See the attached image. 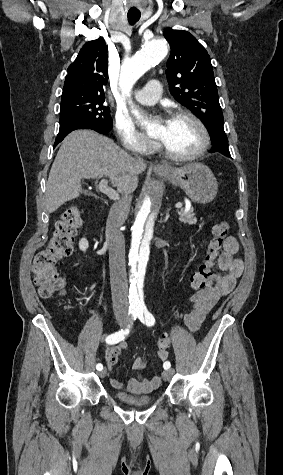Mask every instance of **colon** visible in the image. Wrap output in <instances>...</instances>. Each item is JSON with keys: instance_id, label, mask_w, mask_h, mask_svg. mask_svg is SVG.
<instances>
[{"instance_id": "colon-1", "label": "colon", "mask_w": 283, "mask_h": 475, "mask_svg": "<svg viewBox=\"0 0 283 475\" xmlns=\"http://www.w3.org/2000/svg\"><path fill=\"white\" fill-rule=\"evenodd\" d=\"M81 224V214L76 206L66 208L59 220L48 245L39 250L33 258L32 274L34 283L42 298L51 299L65 289V280L57 274L55 264L72 252V240ZM227 237V224L220 220L213 226L212 240L201 265L191 277L194 292L203 289L212 280L213 265ZM171 343L170 336L165 334L157 341V357L159 363L167 360L166 350Z\"/></svg>"}]
</instances>
